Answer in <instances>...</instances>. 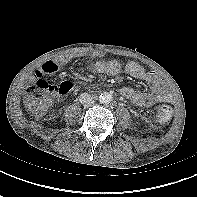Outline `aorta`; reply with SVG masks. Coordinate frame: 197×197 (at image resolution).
Instances as JSON below:
<instances>
[{
    "label": "aorta",
    "instance_id": "762f6f07",
    "mask_svg": "<svg viewBox=\"0 0 197 197\" xmlns=\"http://www.w3.org/2000/svg\"><path fill=\"white\" fill-rule=\"evenodd\" d=\"M113 99V96L109 92H103L99 96V102L102 104H109Z\"/></svg>",
    "mask_w": 197,
    "mask_h": 197
}]
</instances>
